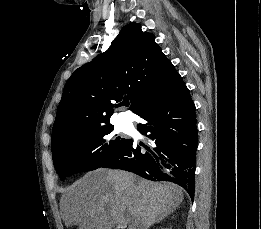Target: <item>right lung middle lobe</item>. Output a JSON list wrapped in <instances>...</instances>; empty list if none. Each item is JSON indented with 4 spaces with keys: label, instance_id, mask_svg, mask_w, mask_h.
Segmentation results:
<instances>
[{
    "label": "right lung middle lobe",
    "instance_id": "dd1d6c3e",
    "mask_svg": "<svg viewBox=\"0 0 261 229\" xmlns=\"http://www.w3.org/2000/svg\"><path fill=\"white\" fill-rule=\"evenodd\" d=\"M113 130L111 124L71 128L70 136L52 151L60 178L100 168L121 153L131 140L113 136Z\"/></svg>",
    "mask_w": 261,
    "mask_h": 229
}]
</instances>
